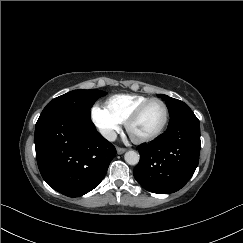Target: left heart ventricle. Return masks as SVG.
Listing matches in <instances>:
<instances>
[{
    "instance_id": "left-heart-ventricle-1",
    "label": "left heart ventricle",
    "mask_w": 243,
    "mask_h": 243,
    "mask_svg": "<svg viewBox=\"0 0 243 243\" xmlns=\"http://www.w3.org/2000/svg\"><path fill=\"white\" fill-rule=\"evenodd\" d=\"M164 119V107L161 103L150 104L141 117L132 124L130 132L136 138H143L159 129Z\"/></svg>"
}]
</instances>
